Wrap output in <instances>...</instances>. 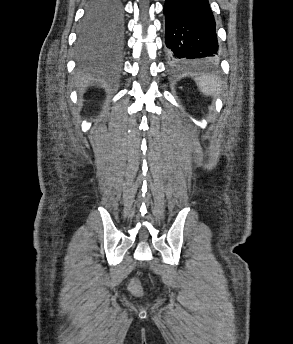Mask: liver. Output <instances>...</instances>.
<instances>
[{"mask_svg": "<svg viewBox=\"0 0 293 344\" xmlns=\"http://www.w3.org/2000/svg\"><path fill=\"white\" fill-rule=\"evenodd\" d=\"M89 82H90V80L88 78H83L82 79V83H89Z\"/></svg>", "mask_w": 293, "mask_h": 344, "instance_id": "1", "label": "liver"}]
</instances>
